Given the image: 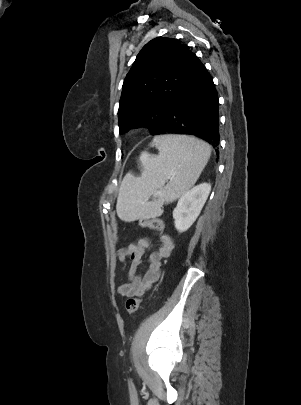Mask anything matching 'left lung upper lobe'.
<instances>
[{"mask_svg": "<svg viewBox=\"0 0 301 405\" xmlns=\"http://www.w3.org/2000/svg\"><path fill=\"white\" fill-rule=\"evenodd\" d=\"M194 53L177 39L157 37L148 42L126 75L119 101V127H147L152 135L162 125L182 86Z\"/></svg>", "mask_w": 301, "mask_h": 405, "instance_id": "obj_1", "label": "left lung upper lobe"}]
</instances>
